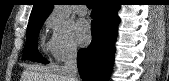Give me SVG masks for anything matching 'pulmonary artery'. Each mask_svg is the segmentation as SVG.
I'll list each match as a JSON object with an SVG mask.
<instances>
[{"label":"pulmonary artery","instance_id":"pulmonary-artery-1","mask_svg":"<svg viewBox=\"0 0 169 81\" xmlns=\"http://www.w3.org/2000/svg\"><path fill=\"white\" fill-rule=\"evenodd\" d=\"M77 12L80 15H84V14L87 13V10H86V8L84 6H80V7H78Z\"/></svg>","mask_w":169,"mask_h":81}]
</instances>
